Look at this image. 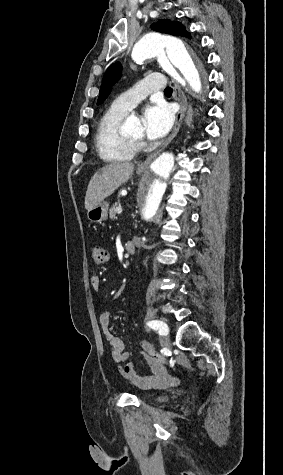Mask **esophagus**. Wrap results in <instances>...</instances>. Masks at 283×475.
Returning <instances> with one entry per match:
<instances>
[{
    "label": "esophagus",
    "instance_id": "obj_1",
    "mask_svg": "<svg viewBox=\"0 0 283 475\" xmlns=\"http://www.w3.org/2000/svg\"><path fill=\"white\" fill-rule=\"evenodd\" d=\"M174 96H175L176 100L179 102V105H180V109H179V111L176 115L174 128H173L171 134L169 135V137L162 143V145L157 150H155L153 153H151L146 158V160H144L143 162H141L138 165L137 171L145 170L150 165V163L154 160V158L157 157V155L167 147V145L173 140V138L176 136V134L179 131L182 119L185 116V112H186V109H187V99H186V96H185L183 90H181L179 85L175 82H174Z\"/></svg>",
    "mask_w": 283,
    "mask_h": 475
}]
</instances>
